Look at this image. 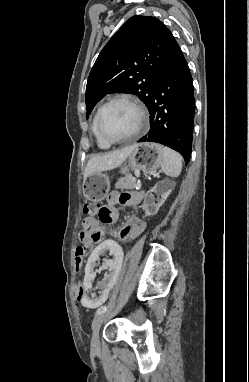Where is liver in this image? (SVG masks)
Returning <instances> with one entry per match:
<instances>
[{"label": "liver", "mask_w": 249, "mask_h": 382, "mask_svg": "<svg viewBox=\"0 0 249 382\" xmlns=\"http://www.w3.org/2000/svg\"><path fill=\"white\" fill-rule=\"evenodd\" d=\"M133 149L134 145L93 156L86 165L84 179L93 173L111 170L120 166L128 158Z\"/></svg>", "instance_id": "1"}]
</instances>
